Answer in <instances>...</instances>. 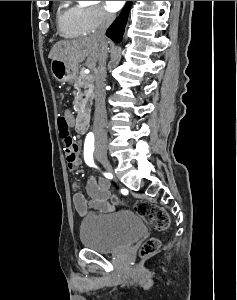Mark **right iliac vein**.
Segmentation results:
<instances>
[{
	"label": "right iliac vein",
	"mask_w": 237,
	"mask_h": 300,
	"mask_svg": "<svg viewBox=\"0 0 237 300\" xmlns=\"http://www.w3.org/2000/svg\"><path fill=\"white\" fill-rule=\"evenodd\" d=\"M95 156L96 158L108 169H112V166L108 160L107 154H106V148L105 147H98L95 150Z\"/></svg>",
	"instance_id": "right-iliac-vein-1"
}]
</instances>
